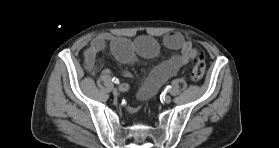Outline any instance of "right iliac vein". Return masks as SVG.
<instances>
[{
    "label": "right iliac vein",
    "mask_w": 279,
    "mask_h": 148,
    "mask_svg": "<svg viewBox=\"0 0 279 148\" xmlns=\"http://www.w3.org/2000/svg\"><path fill=\"white\" fill-rule=\"evenodd\" d=\"M123 87H124V85H121V88H123ZM112 93H113L114 96H118L119 91H118L117 88H113Z\"/></svg>",
    "instance_id": "obj_1"
}]
</instances>
